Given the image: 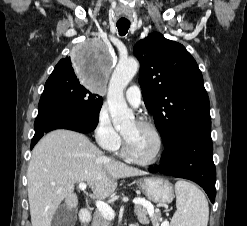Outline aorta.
Masks as SVG:
<instances>
[{
    "label": "aorta",
    "mask_w": 247,
    "mask_h": 226,
    "mask_svg": "<svg viewBox=\"0 0 247 226\" xmlns=\"http://www.w3.org/2000/svg\"><path fill=\"white\" fill-rule=\"evenodd\" d=\"M138 68L139 63L134 59L121 60L111 76L107 103L116 129L131 124L134 119L133 112L128 108L125 101L124 89L136 75Z\"/></svg>",
    "instance_id": "1"
}]
</instances>
